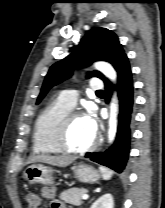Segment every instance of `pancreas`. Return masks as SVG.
I'll return each instance as SVG.
<instances>
[{"mask_svg":"<svg viewBox=\"0 0 165 208\" xmlns=\"http://www.w3.org/2000/svg\"><path fill=\"white\" fill-rule=\"evenodd\" d=\"M86 193H87L86 189L74 187L63 191L59 197L65 203L80 206L83 203L82 196Z\"/></svg>","mask_w":165,"mask_h":208,"instance_id":"obj_1","label":"pancreas"}]
</instances>
